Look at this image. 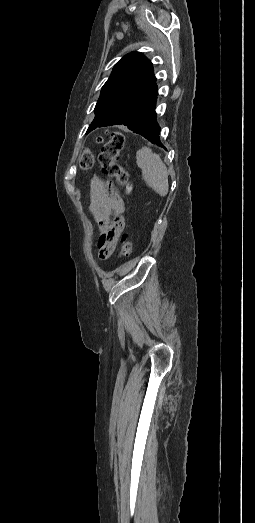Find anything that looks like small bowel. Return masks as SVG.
Returning <instances> with one entry per match:
<instances>
[{"mask_svg": "<svg viewBox=\"0 0 255 523\" xmlns=\"http://www.w3.org/2000/svg\"><path fill=\"white\" fill-rule=\"evenodd\" d=\"M89 211L99 226V257L108 259L125 227L124 202L112 186L94 177L90 186Z\"/></svg>", "mask_w": 255, "mask_h": 523, "instance_id": "c3829d8e", "label": "small bowel"}]
</instances>
